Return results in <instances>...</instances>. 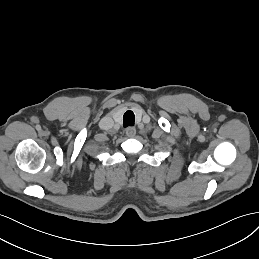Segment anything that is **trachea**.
<instances>
[{
  "instance_id": "obj_1",
  "label": "trachea",
  "mask_w": 259,
  "mask_h": 259,
  "mask_svg": "<svg viewBox=\"0 0 259 259\" xmlns=\"http://www.w3.org/2000/svg\"><path fill=\"white\" fill-rule=\"evenodd\" d=\"M135 121V115L132 111H127L123 116V126H133Z\"/></svg>"
}]
</instances>
